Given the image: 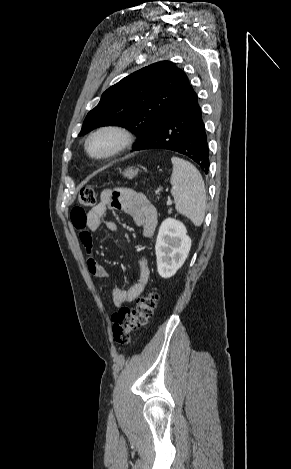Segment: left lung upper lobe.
Listing matches in <instances>:
<instances>
[{
    "mask_svg": "<svg viewBox=\"0 0 291 469\" xmlns=\"http://www.w3.org/2000/svg\"><path fill=\"white\" fill-rule=\"evenodd\" d=\"M187 75L175 63L160 61L123 78L107 89L86 116L80 136L107 125L133 131L140 145L189 87Z\"/></svg>",
    "mask_w": 291,
    "mask_h": 469,
    "instance_id": "1",
    "label": "left lung upper lobe"
}]
</instances>
